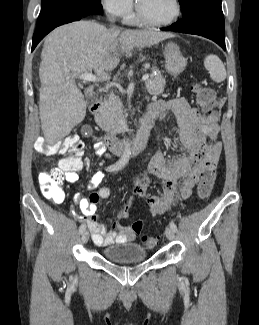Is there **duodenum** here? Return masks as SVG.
I'll return each instance as SVG.
<instances>
[{
	"mask_svg": "<svg viewBox=\"0 0 259 325\" xmlns=\"http://www.w3.org/2000/svg\"><path fill=\"white\" fill-rule=\"evenodd\" d=\"M101 106L102 102L100 100L95 101L90 106V112L93 115H97L101 109ZM153 123V118L145 113L141 119V124L136 138L120 140L113 135H108L105 138V145L111 151L116 153H125L127 151L132 152L135 149H140L147 144Z\"/></svg>",
	"mask_w": 259,
	"mask_h": 325,
	"instance_id": "obj_1",
	"label": "duodenum"
}]
</instances>
